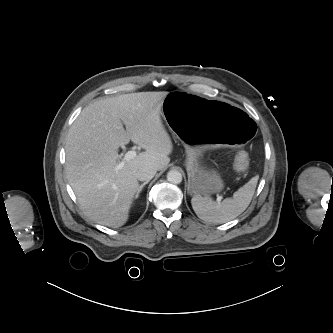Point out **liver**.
<instances>
[{
  "label": "liver",
  "instance_id": "1",
  "mask_svg": "<svg viewBox=\"0 0 333 333\" xmlns=\"http://www.w3.org/2000/svg\"><path fill=\"white\" fill-rule=\"evenodd\" d=\"M167 95L138 92L100 99L84 108L70 127L67 178L81 209L97 223L123 226L139 188L138 168L161 170L170 162L173 144L160 117ZM130 140L145 152L118 168V149Z\"/></svg>",
  "mask_w": 333,
  "mask_h": 333
}]
</instances>
